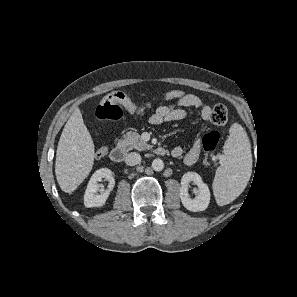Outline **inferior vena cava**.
<instances>
[{"label":"inferior vena cava","mask_w":297,"mask_h":297,"mask_svg":"<svg viewBox=\"0 0 297 297\" xmlns=\"http://www.w3.org/2000/svg\"><path fill=\"white\" fill-rule=\"evenodd\" d=\"M125 162L129 166L137 165L141 162V155L136 152H131L126 156Z\"/></svg>","instance_id":"inferior-vena-cava-1"}]
</instances>
